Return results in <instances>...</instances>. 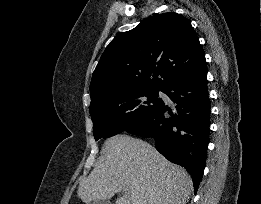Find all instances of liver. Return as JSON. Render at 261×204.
I'll list each match as a JSON object with an SVG mask.
<instances>
[{
  "mask_svg": "<svg viewBox=\"0 0 261 204\" xmlns=\"http://www.w3.org/2000/svg\"><path fill=\"white\" fill-rule=\"evenodd\" d=\"M120 191L115 204H186L192 179L149 143L120 134L104 142L99 163L80 181L77 195L90 203Z\"/></svg>",
  "mask_w": 261,
  "mask_h": 204,
  "instance_id": "1",
  "label": "liver"
}]
</instances>
